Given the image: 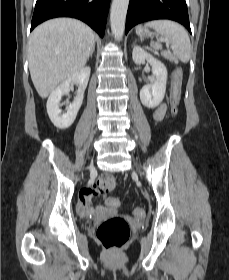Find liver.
<instances>
[{"label":"liver","mask_w":229,"mask_h":280,"mask_svg":"<svg viewBox=\"0 0 229 280\" xmlns=\"http://www.w3.org/2000/svg\"><path fill=\"white\" fill-rule=\"evenodd\" d=\"M95 43L93 30L81 21L57 18L30 35L28 60L32 82L46 98L63 81L80 72Z\"/></svg>","instance_id":"1"}]
</instances>
